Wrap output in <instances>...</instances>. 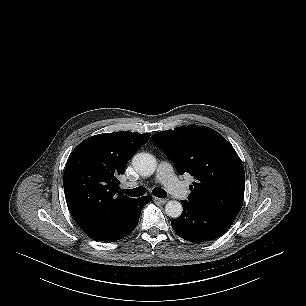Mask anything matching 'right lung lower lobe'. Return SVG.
Here are the masks:
<instances>
[{
    "label": "right lung lower lobe",
    "instance_id": "98d812e1",
    "mask_svg": "<svg viewBox=\"0 0 306 306\" xmlns=\"http://www.w3.org/2000/svg\"><path fill=\"white\" fill-rule=\"evenodd\" d=\"M151 200L152 197L150 195L134 199L118 221L104 233L94 237V239L104 242H113L124 238L135 229L142 208Z\"/></svg>",
    "mask_w": 306,
    "mask_h": 306
}]
</instances>
